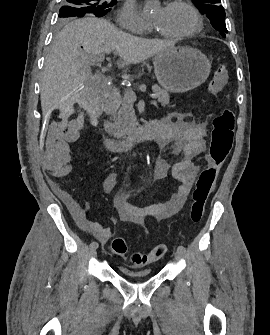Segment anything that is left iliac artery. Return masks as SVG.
<instances>
[{
  "label": "left iliac artery",
  "instance_id": "left-iliac-artery-1",
  "mask_svg": "<svg viewBox=\"0 0 270 335\" xmlns=\"http://www.w3.org/2000/svg\"><path fill=\"white\" fill-rule=\"evenodd\" d=\"M177 250L180 251V252H182V253H184V252H185V247L182 246V245H179V246L177 247Z\"/></svg>",
  "mask_w": 270,
  "mask_h": 335
}]
</instances>
